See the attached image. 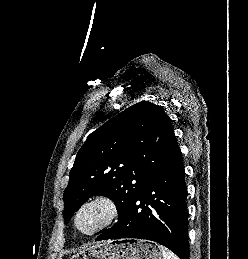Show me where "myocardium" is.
Masks as SVG:
<instances>
[{
	"mask_svg": "<svg viewBox=\"0 0 248 259\" xmlns=\"http://www.w3.org/2000/svg\"><path fill=\"white\" fill-rule=\"evenodd\" d=\"M93 205H103L106 207L107 209V216L105 218V220L95 229L91 230V231H82L78 225V218L81 214V212L86 209L89 206H93ZM119 215V207L116 203V201L111 198L110 196L107 195H103V194H98L95 195L93 197L88 198L87 200L83 201L78 208L76 209L74 216H73V225L75 230L83 235V236H93L98 234L99 232L103 231L104 229H106L107 227H109L118 217Z\"/></svg>",
	"mask_w": 248,
	"mask_h": 259,
	"instance_id": "1",
	"label": "myocardium"
}]
</instances>
